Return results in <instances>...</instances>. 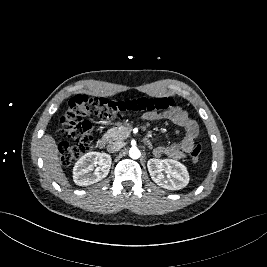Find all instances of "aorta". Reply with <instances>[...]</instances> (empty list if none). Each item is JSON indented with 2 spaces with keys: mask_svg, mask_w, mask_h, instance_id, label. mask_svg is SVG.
Wrapping results in <instances>:
<instances>
[{
  "mask_svg": "<svg viewBox=\"0 0 267 267\" xmlns=\"http://www.w3.org/2000/svg\"><path fill=\"white\" fill-rule=\"evenodd\" d=\"M129 156L132 158V159H139L140 156H141V152L138 148L136 147H132L130 150H129Z\"/></svg>",
  "mask_w": 267,
  "mask_h": 267,
  "instance_id": "762f6f07",
  "label": "aorta"
}]
</instances>
